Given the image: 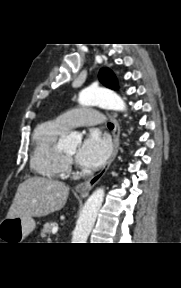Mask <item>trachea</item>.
Instances as JSON below:
<instances>
[{
	"mask_svg": "<svg viewBox=\"0 0 181 288\" xmlns=\"http://www.w3.org/2000/svg\"><path fill=\"white\" fill-rule=\"evenodd\" d=\"M107 126H108L109 129H113V128H114V125H113L111 122H109V123L107 124Z\"/></svg>",
	"mask_w": 181,
	"mask_h": 288,
	"instance_id": "3493384b",
	"label": "trachea"
}]
</instances>
